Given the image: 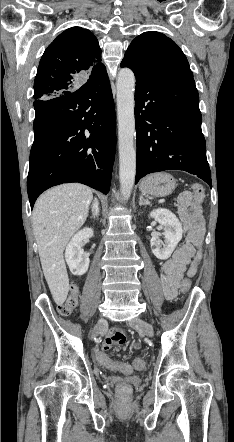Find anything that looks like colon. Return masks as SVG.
I'll return each instance as SVG.
<instances>
[{
    "label": "colon",
    "instance_id": "1",
    "mask_svg": "<svg viewBox=\"0 0 234 442\" xmlns=\"http://www.w3.org/2000/svg\"><path fill=\"white\" fill-rule=\"evenodd\" d=\"M192 191L194 194V198L197 202H202L205 198V191L202 185L200 184H193L192 185ZM195 259L197 261H200L202 259V256L200 254H197L195 256ZM191 288V283L188 279H184L181 285V290L183 292H188ZM78 296H79V288L76 284H73L70 287V293L67 299L63 304H61L58 307V312L60 315L67 317L70 316L74 310L76 309L78 305ZM109 352L103 348L97 349L94 352V358L97 360L101 365L115 371H119L121 373H130L133 370L132 365H130L129 360L124 359L122 361H117L111 359L109 356ZM132 362L134 363V367L136 369H142L145 366V362L142 359H139L138 357H134L132 359ZM128 387L127 381L121 382L120 390L122 392H126Z\"/></svg>",
    "mask_w": 234,
    "mask_h": 442
}]
</instances>
